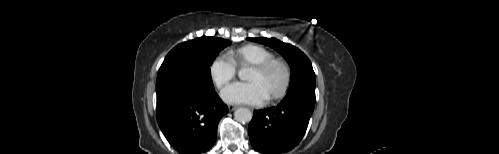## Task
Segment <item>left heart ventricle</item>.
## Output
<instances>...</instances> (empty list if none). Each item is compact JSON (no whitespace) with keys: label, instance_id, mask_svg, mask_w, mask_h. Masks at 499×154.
<instances>
[{"label":"left heart ventricle","instance_id":"obj_1","mask_svg":"<svg viewBox=\"0 0 499 154\" xmlns=\"http://www.w3.org/2000/svg\"><path fill=\"white\" fill-rule=\"evenodd\" d=\"M283 76L282 68L280 66H274L265 73L251 69L247 75V80L249 82L259 83L269 97L280 88L283 82Z\"/></svg>","mask_w":499,"mask_h":154}]
</instances>
